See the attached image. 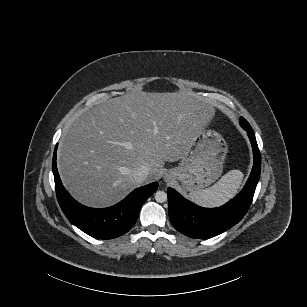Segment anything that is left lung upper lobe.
Segmentation results:
<instances>
[{"label":"left lung upper lobe","mask_w":307,"mask_h":307,"mask_svg":"<svg viewBox=\"0 0 307 307\" xmlns=\"http://www.w3.org/2000/svg\"><path fill=\"white\" fill-rule=\"evenodd\" d=\"M240 124H243L246 127H250V124L243 117L240 118Z\"/></svg>","instance_id":"5c2ea615"}]
</instances>
